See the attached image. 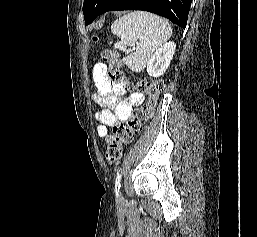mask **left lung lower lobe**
<instances>
[{"mask_svg":"<svg viewBox=\"0 0 257 237\" xmlns=\"http://www.w3.org/2000/svg\"><path fill=\"white\" fill-rule=\"evenodd\" d=\"M191 2L192 0H108L97 16L107 11L144 10L163 16L185 28Z\"/></svg>","mask_w":257,"mask_h":237,"instance_id":"left-lung-lower-lobe-1","label":"left lung lower lobe"}]
</instances>
